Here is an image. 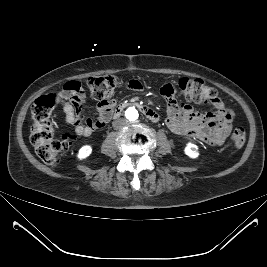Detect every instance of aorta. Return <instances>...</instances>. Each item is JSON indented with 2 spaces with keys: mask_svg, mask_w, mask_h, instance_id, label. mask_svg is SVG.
I'll list each match as a JSON object with an SVG mask.
<instances>
[{
  "mask_svg": "<svg viewBox=\"0 0 267 267\" xmlns=\"http://www.w3.org/2000/svg\"><path fill=\"white\" fill-rule=\"evenodd\" d=\"M125 116L130 122H135L139 118V111L135 107H129L125 111Z\"/></svg>",
  "mask_w": 267,
  "mask_h": 267,
  "instance_id": "obj_1",
  "label": "aorta"
}]
</instances>
